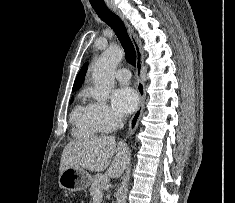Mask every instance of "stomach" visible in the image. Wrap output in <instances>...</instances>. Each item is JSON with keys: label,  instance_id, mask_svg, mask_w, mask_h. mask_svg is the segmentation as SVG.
Masks as SVG:
<instances>
[{"label": "stomach", "instance_id": "0dacf381", "mask_svg": "<svg viewBox=\"0 0 235 203\" xmlns=\"http://www.w3.org/2000/svg\"><path fill=\"white\" fill-rule=\"evenodd\" d=\"M92 183V176L83 168H67L58 177L61 188L70 192L87 189Z\"/></svg>", "mask_w": 235, "mask_h": 203}]
</instances>
